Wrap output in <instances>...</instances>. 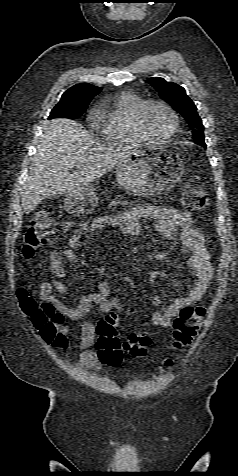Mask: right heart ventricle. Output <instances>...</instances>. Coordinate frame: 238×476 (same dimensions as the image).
<instances>
[{
	"instance_id": "e07e8e85",
	"label": "right heart ventricle",
	"mask_w": 238,
	"mask_h": 476,
	"mask_svg": "<svg viewBox=\"0 0 238 476\" xmlns=\"http://www.w3.org/2000/svg\"><path fill=\"white\" fill-rule=\"evenodd\" d=\"M144 99L131 91L113 95L99 106L96 129L108 143L140 145L145 141L135 127V116Z\"/></svg>"
}]
</instances>
